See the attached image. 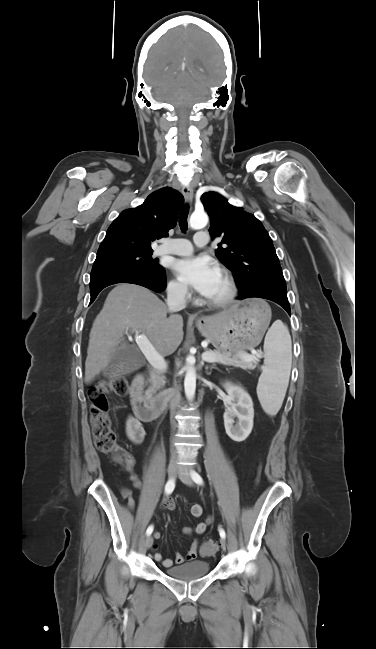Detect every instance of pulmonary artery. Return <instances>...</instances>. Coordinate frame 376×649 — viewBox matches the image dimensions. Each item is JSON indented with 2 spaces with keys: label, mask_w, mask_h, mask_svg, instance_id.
Wrapping results in <instances>:
<instances>
[{
  "label": "pulmonary artery",
  "mask_w": 376,
  "mask_h": 649,
  "mask_svg": "<svg viewBox=\"0 0 376 649\" xmlns=\"http://www.w3.org/2000/svg\"><path fill=\"white\" fill-rule=\"evenodd\" d=\"M194 243L198 247H204L209 243L207 232L200 231L194 237ZM193 251L191 242L187 239L176 238L165 241L155 249L157 255H189Z\"/></svg>",
  "instance_id": "1"
}]
</instances>
